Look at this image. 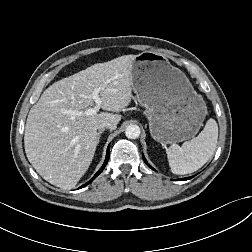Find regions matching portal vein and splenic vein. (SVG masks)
<instances>
[{
	"instance_id": "18ae733b",
	"label": "portal vein and splenic vein",
	"mask_w": 252,
	"mask_h": 252,
	"mask_svg": "<svg viewBox=\"0 0 252 252\" xmlns=\"http://www.w3.org/2000/svg\"><path fill=\"white\" fill-rule=\"evenodd\" d=\"M101 88H96L92 94H91V97L92 99L95 101V106L93 108H88L84 111V114L86 115H93V114H96L100 108H101V99L99 97V92H100ZM69 114L73 115V116H77V115H80L81 112H76V111H70Z\"/></svg>"
}]
</instances>
